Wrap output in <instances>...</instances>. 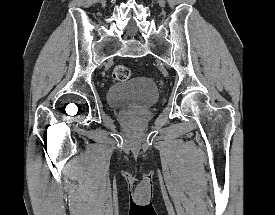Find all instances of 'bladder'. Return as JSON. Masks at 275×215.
<instances>
[{
  "label": "bladder",
  "mask_w": 275,
  "mask_h": 215,
  "mask_svg": "<svg viewBox=\"0 0 275 215\" xmlns=\"http://www.w3.org/2000/svg\"><path fill=\"white\" fill-rule=\"evenodd\" d=\"M158 96L157 86L151 79L136 77L112 84L107 89L106 101L119 110L142 109L156 104Z\"/></svg>",
  "instance_id": "31cf9c89"
}]
</instances>
